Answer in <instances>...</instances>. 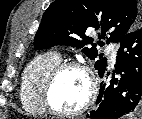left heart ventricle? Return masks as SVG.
Returning a JSON list of instances; mask_svg holds the SVG:
<instances>
[{"instance_id":"obj_1","label":"left heart ventricle","mask_w":142,"mask_h":119,"mask_svg":"<svg viewBox=\"0 0 142 119\" xmlns=\"http://www.w3.org/2000/svg\"><path fill=\"white\" fill-rule=\"evenodd\" d=\"M87 94L88 81L85 75L71 69L59 77L52 92V101L59 110L73 111L85 102Z\"/></svg>"}]
</instances>
